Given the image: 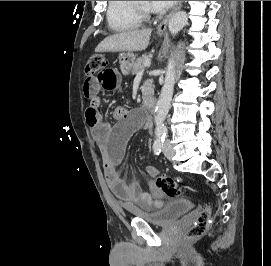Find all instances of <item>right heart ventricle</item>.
<instances>
[{
  "instance_id": "obj_1",
  "label": "right heart ventricle",
  "mask_w": 271,
  "mask_h": 266,
  "mask_svg": "<svg viewBox=\"0 0 271 266\" xmlns=\"http://www.w3.org/2000/svg\"><path fill=\"white\" fill-rule=\"evenodd\" d=\"M106 17L109 27L117 32L135 30L143 22L132 10L130 1H109Z\"/></svg>"
}]
</instances>
